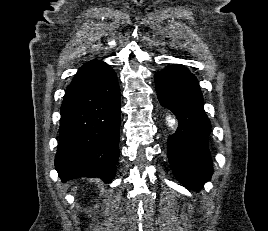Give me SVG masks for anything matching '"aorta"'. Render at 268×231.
Returning a JSON list of instances; mask_svg holds the SVG:
<instances>
[{
  "instance_id": "aorta-1",
  "label": "aorta",
  "mask_w": 268,
  "mask_h": 231,
  "mask_svg": "<svg viewBox=\"0 0 268 231\" xmlns=\"http://www.w3.org/2000/svg\"><path fill=\"white\" fill-rule=\"evenodd\" d=\"M167 122H168V126L170 127V128H174L175 127V124H176V121H175V119H173L171 116H168L167 117Z\"/></svg>"
}]
</instances>
